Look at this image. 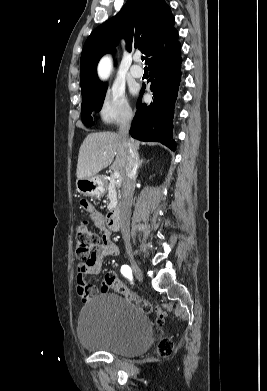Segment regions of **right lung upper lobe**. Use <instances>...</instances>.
<instances>
[{"instance_id": "obj_1", "label": "right lung upper lobe", "mask_w": 267, "mask_h": 391, "mask_svg": "<svg viewBox=\"0 0 267 391\" xmlns=\"http://www.w3.org/2000/svg\"><path fill=\"white\" fill-rule=\"evenodd\" d=\"M174 21L164 0H129L86 40L80 60L82 93L102 83L97 77V64L104 54L114 51L120 37L125 38L128 51L139 48L149 63L179 43Z\"/></svg>"}]
</instances>
